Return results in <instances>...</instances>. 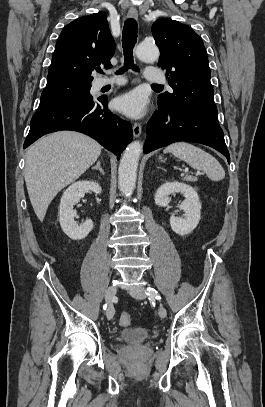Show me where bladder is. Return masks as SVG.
I'll return each instance as SVG.
<instances>
[{
  "instance_id": "1",
  "label": "bladder",
  "mask_w": 265,
  "mask_h": 407,
  "mask_svg": "<svg viewBox=\"0 0 265 407\" xmlns=\"http://www.w3.org/2000/svg\"><path fill=\"white\" fill-rule=\"evenodd\" d=\"M153 332L140 327H129L120 332L118 340L128 344H141L153 338Z\"/></svg>"
}]
</instances>
